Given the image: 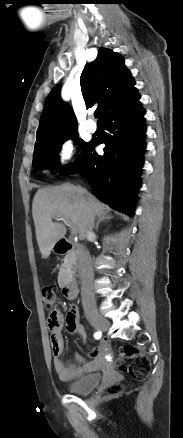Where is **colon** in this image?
I'll return each mask as SVG.
<instances>
[{
	"mask_svg": "<svg viewBox=\"0 0 183 438\" xmlns=\"http://www.w3.org/2000/svg\"><path fill=\"white\" fill-rule=\"evenodd\" d=\"M42 299L46 308L51 309L57 301V295L53 287L45 285L42 287ZM118 369L128 373L136 380H144L150 371V362L148 358L139 353L132 346H126L118 356L116 361ZM122 390L121 384H114L107 389V395H115Z\"/></svg>",
	"mask_w": 183,
	"mask_h": 438,
	"instance_id": "5ec220e1",
	"label": "colon"
}]
</instances>
